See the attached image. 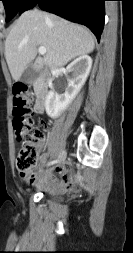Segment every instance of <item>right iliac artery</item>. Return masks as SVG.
Wrapping results in <instances>:
<instances>
[{
  "instance_id": "1",
  "label": "right iliac artery",
  "mask_w": 133,
  "mask_h": 253,
  "mask_svg": "<svg viewBox=\"0 0 133 253\" xmlns=\"http://www.w3.org/2000/svg\"><path fill=\"white\" fill-rule=\"evenodd\" d=\"M58 162V160H53V161H50L49 163H48V165H53V164H55V163H57Z\"/></svg>"
}]
</instances>
